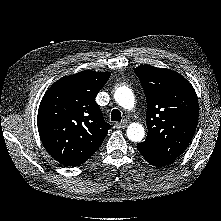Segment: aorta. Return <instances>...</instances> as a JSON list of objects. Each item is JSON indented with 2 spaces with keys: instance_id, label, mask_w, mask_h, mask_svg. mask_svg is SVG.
I'll use <instances>...</instances> for the list:
<instances>
[{
  "instance_id": "aorta-1",
  "label": "aorta",
  "mask_w": 221,
  "mask_h": 221,
  "mask_svg": "<svg viewBox=\"0 0 221 221\" xmlns=\"http://www.w3.org/2000/svg\"><path fill=\"white\" fill-rule=\"evenodd\" d=\"M116 102L126 110H132L135 106V98L131 89L126 86L117 88L114 94ZM144 127L139 123H131L127 128V137L133 142H139L144 138Z\"/></svg>"
}]
</instances>
